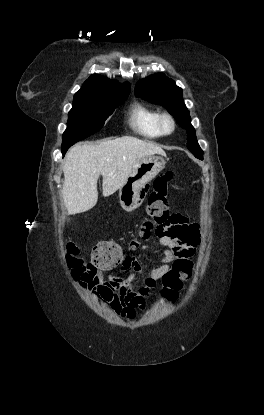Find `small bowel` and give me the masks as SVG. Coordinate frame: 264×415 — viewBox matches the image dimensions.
<instances>
[{
    "instance_id": "obj_1",
    "label": "small bowel",
    "mask_w": 264,
    "mask_h": 415,
    "mask_svg": "<svg viewBox=\"0 0 264 415\" xmlns=\"http://www.w3.org/2000/svg\"><path fill=\"white\" fill-rule=\"evenodd\" d=\"M172 220L170 225L172 233L160 239V244L164 248L161 257L162 264L151 268L142 285L135 286L132 281L116 275L104 278L101 272L74 273V279L92 294L111 305L118 315L129 320L134 319L150 300L157 281L163 279L171 271L175 262L183 261L191 256L199 239L200 231L195 223L177 214L172 216ZM121 268L138 272L141 270V265L134 256H128L121 263ZM185 278L186 275L183 276V279ZM121 289L126 290V295L123 299L117 300Z\"/></svg>"
}]
</instances>
